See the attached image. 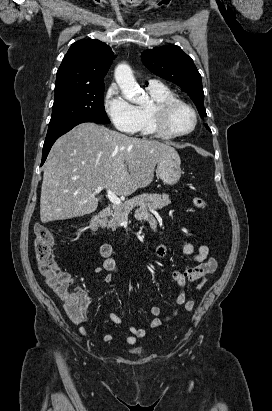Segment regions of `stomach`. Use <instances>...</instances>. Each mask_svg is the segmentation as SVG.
<instances>
[{
	"label": "stomach",
	"instance_id": "1",
	"mask_svg": "<svg viewBox=\"0 0 272 411\" xmlns=\"http://www.w3.org/2000/svg\"><path fill=\"white\" fill-rule=\"evenodd\" d=\"M181 173L180 161L176 159L164 158L156 163V174L165 184H176Z\"/></svg>",
	"mask_w": 272,
	"mask_h": 411
}]
</instances>
